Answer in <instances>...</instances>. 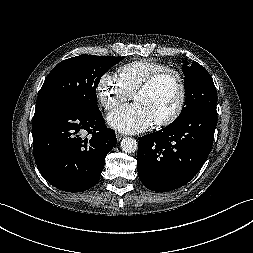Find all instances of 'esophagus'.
Segmentation results:
<instances>
[{
	"label": "esophagus",
	"mask_w": 253,
	"mask_h": 253,
	"mask_svg": "<svg viewBox=\"0 0 253 253\" xmlns=\"http://www.w3.org/2000/svg\"><path fill=\"white\" fill-rule=\"evenodd\" d=\"M124 136L120 133H116V138L118 141H120Z\"/></svg>",
	"instance_id": "34e87169"
}]
</instances>
